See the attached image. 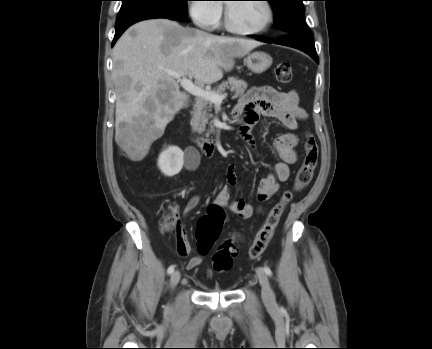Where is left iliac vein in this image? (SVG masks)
<instances>
[{"instance_id":"1","label":"left iliac vein","mask_w":432,"mask_h":349,"mask_svg":"<svg viewBox=\"0 0 432 349\" xmlns=\"http://www.w3.org/2000/svg\"><path fill=\"white\" fill-rule=\"evenodd\" d=\"M256 274L258 276L260 285L262 287V299L266 306L270 308L276 307V300L274 292L270 286L267 274L261 268L256 269Z\"/></svg>"}]
</instances>
